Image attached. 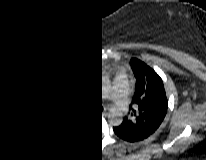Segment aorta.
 I'll use <instances>...</instances> for the list:
<instances>
[{
    "mask_svg": "<svg viewBox=\"0 0 206 160\" xmlns=\"http://www.w3.org/2000/svg\"><path fill=\"white\" fill-rule=\"evenodd\" d=\"M121 114L119 110L112 108L109 113V119L112 124H118L121 122Z\"/></svg>",
    "mask_w": 206,
    "mask_h": 160,
    "instance_id": "aorta-1",
    "label": "aorta"
}]
</instances>
